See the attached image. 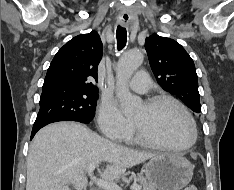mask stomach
<instances>
[{
  "mask_svg": "<svg viewBox=\"0 0 234 190\" xmlns=\"http://www.w3.org/2000/svg\"><path fill=\"white\" fill-rule=\"evenodd\" d=\"M193 166L177 154H160L145 166V176L156 190H181L193 176Z\"/></svg>",
  "mask_w": 234,
  "mask_h": 190,
  "instance_id": "0dacf381",
  "label": "stomach"
}]
</instances>
